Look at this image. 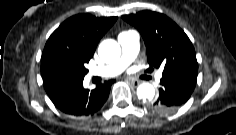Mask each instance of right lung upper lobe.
I'll return each instance as SVG.
<instances>
[{
    "label": "right lung upper lobe",
    "mask_w": 236,
    "mask_h": 135,
    "mask_svg": "<svg viewBox=\"0 0 236 135\" xmlns=\"http://www.w3.org/2000/svg\"><path fill=\"white\" fill-rule=\"evenodd\" d=\"M117 17L78 14L64 21L49 37L44 51L62 48L84 57H92L101 37L115 23Z\"/></svg>",
    "instance_id": "1"
}]
</instances>
